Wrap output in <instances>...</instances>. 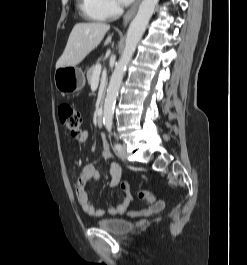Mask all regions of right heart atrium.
Listing matches in <instances>:
<instances>
[{
	"instance_id": "1",
	"label": "right heart atrium",
	"mask_w": 247,
	"mask_h": 265,
	"mask_svg": "<svg viewBox=\"0 0 247 265\" xmlns=\"http://www.w3.org/2000/svg\"><path fill=\"white\" fill-rule=\"evenodd\" d=\"M89 6L94 13L105 19H110L120 12L116 0H89Z\"/></svg>"
}]
</instances>
